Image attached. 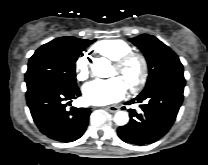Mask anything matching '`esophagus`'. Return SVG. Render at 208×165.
<instances>
[{
  "mask_svg": "<svg viewBox=\"0 0 208 165\" xmlns=\"http://www.w3.org/2000/svg\"><path fill=\"white\" fill-rule=\"evenodd\" d=\"M104 109H106L110 112H117L119 110V108L117 106H108V107H104Z\"/></svg>",
  "mask_w": 208,
  "mask_h": 165,
  "instance_id": "1",
  "label": "esophagus"
}]
</instances>
